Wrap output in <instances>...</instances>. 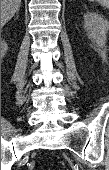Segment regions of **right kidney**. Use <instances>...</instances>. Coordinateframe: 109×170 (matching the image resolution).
<instances>
[{
  "mask_svg": "<svg viewBox=\"0 0 109 170\" xmlns=\"http://www.w3.org/2000/svg\"><path fill=\"white\" fill-rule=\"evenodd\" d=\"M7 49H8L7 44H6L5 42H2V44H1V52H2V56L5 55Z\"/></svg>",
  "mask_w": 109,
  "mask_h": 170,
  "instance_id": "right-kidney-1",
  "label": "right kidney"
}]
</instances>
